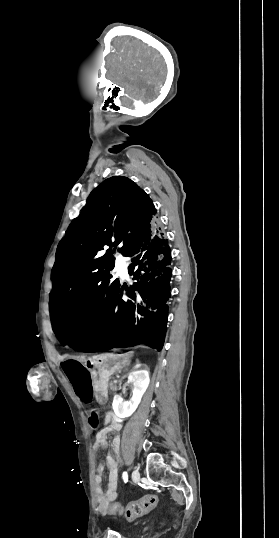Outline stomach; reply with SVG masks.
Listing matches in <instances>:
<instances>
[{"instance_id":"stomach-1","label":"stomach","mask_w":279,"mask_h":538,"mask_svg":"<svg viewBox=\"0 0 279 538\" xmlns=\"http://www.w3.org/2000/svg\"><path fill=\"white\" fill-rule=\"evenodd\" d=\"M129 353H98L97 363L100 364L98 379L94 381V386L99 391L97 398L100 400V405H107L106 390L107 385L111 382L113 374L119 373V368H125L130 364Z\"/></svg>"}]
</instances>
